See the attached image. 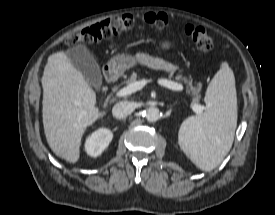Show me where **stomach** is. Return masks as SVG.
I'll list each match as a JSON object with an SVG mask.
<instances>
[{
  "label": "stomach",
  "mask_w": 275,
  "mask_h": 215,
  "mask_svg": "<svg viewBox=\"0 0 275 215\" xmlns=\"http://www.w3.org/2000/svg\"><path fill=\"white\" fill-rule=\"evenodd\" d=\"M174 47V44L168 40L162 41L160 43V48L163 50H169ZM137 64V61L129 55L119 54L110 59L107 63V73L113 75H121L126 70L131 67H134Z\"/></svg>",
  "instance_id": "stomach-1"
}]
</instances>
